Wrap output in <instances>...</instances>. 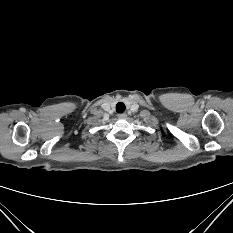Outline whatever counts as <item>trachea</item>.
Masks as SVG:
<instances>
[{
	"instance_id": "trachea-1",
	"label": "trachea",
	"mask_w": 233,
	"mask_h": 233,
	"mask_svg": "<svg viewBox=\"0 0 233 233\" xmlns=\"http://www.w3.org/2000/svg\"><path fill=\"white\" fill-rule=\"evenodd\" d=\"M116 111H117V113H123L125 111V105H124V103L119 102L116 105Z\"/></svg>"
}]
</instances>
